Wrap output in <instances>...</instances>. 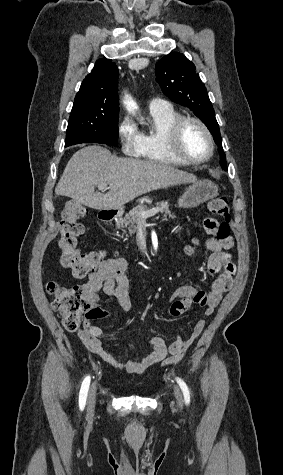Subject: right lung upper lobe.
<instances>
[{
    "label": "right lung upper lobe",
    "instance_id": "right-lung-upper-lobe-1",
    "mask_svg": "<svg viewBox=\"0 0 283 475\" xmlns=\"http://www.w3.org/2000/svg\"><path fill=\"white\" fill-rule=\"evenodd\" d=\"M118 68L111 59L96 61L90 74L83 80L74 102L118 105Z\"/></svg>",
    "mask_w": 283,
    "mask_h": 475
}]
</instances>
